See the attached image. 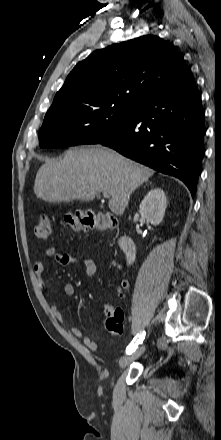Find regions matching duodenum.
<instances>
[{
    "instance_id": "1",
    "label": "duodenum",
    "mask_w": 221,
    "mask_h": 440,
    "mask_svg": "<svg viewBox=\"0 0 221 440\" xmlns=\"http://www.w3.org/2000/svg\"><path fill=\"white\" fill-rule=\"evenodd\" d=\"M119 245L126 256L128 263H132L136 257V248L131 237L127 235L121 236Z\"/></svg>"
}]
</instances>
